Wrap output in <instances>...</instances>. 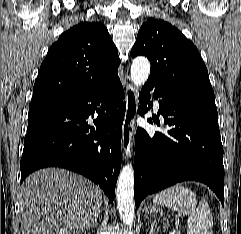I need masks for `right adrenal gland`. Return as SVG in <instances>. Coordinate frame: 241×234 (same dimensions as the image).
I'll return each instance as SVG.
<instances>
[{
    "mask_svg": "<svg viewBox=\"0 0 241 234\" xmlns=\"http://www.w3.org/2000/svg\"><path fill=\"white\" fill-rule=\"evenodd\" d=\"M99 215H100V211H99L98 214L95 216V219H94V221H93V223H92L93 227H96L97 219H98Z\"/></svg>",
    "mask_w": 241,
    "mask_h": 234,
    "instance_id": "right-adrenal-gland-1",
    "label": "right adrenal gland"
}]
</instances>
